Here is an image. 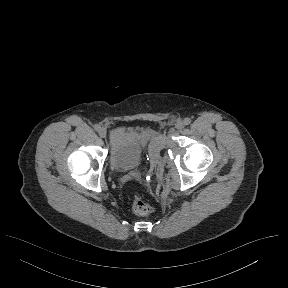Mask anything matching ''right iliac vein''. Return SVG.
Here are the masks:
<instances>
[{"label": "right iliac vein", "mask_w": 288, "mask_h": 288, "mask_svg": "<svg viewBox=\"0 0 288 288\" xmlns=\"http://www.w3.org/2000/svg\"><path fill=\"white\" fill-rule=\"evenodd\" d=\"M106 135H107L106 129H105V128H101V129L99 130V136H100L101 138H105Z\"/></svg>", "instance_id": "63e3f726"}]
</instances>
